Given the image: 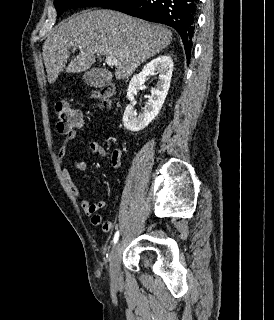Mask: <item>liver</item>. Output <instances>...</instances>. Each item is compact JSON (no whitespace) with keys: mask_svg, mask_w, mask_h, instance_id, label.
Wrapping results in <instances>:
<instances>
[{"mask_svg":"<svg viewBox=\"0 0 274 320\" xmlns=\"http://www.w3.org/2000/svg\"><path fill=\"white\" fill-rule=\"evenodd\" d=\"M172 32L162 24H151L113 10H84L70 16L43 44V60L49 84L56 82L70 58L71 48L80 50L66 72L80 74L96 62L95 54L117 58L116 80H128L136 68L165 50Z\"/></svg>","mask_w":274,"mask_h":320,"instance_id":"1","label":"liver"}]
</instances>
